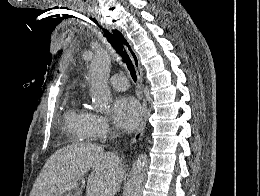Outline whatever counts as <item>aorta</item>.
<instances>
[{
  "label": "aorta",
  "mask_w": 260,
  "mask_h": 196,
  "mask_svg": "<svg viewBox=\"0 0 260 196\" xmlns=\"http://www.w3.org/2000/svg\"><path fill=\"white\" fill-rule=\"evenodd\" d=\"M111 70V56L107 50H98L90 65L88 80L91 86L92 102L94 106L106 112L112 101L108 78ZM147 169V155L141 154L135 160L130 172L126 196H142Z\"/></svg>",
  "instance_id": "obj_1"
}]
</instances>
